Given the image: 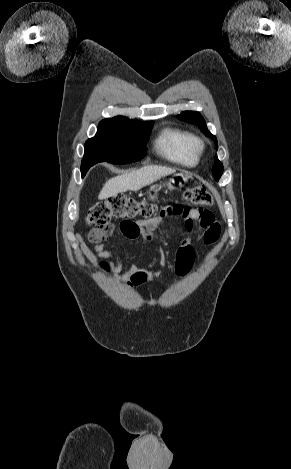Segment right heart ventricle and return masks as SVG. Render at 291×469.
Wrapping results in <instances>:
<instances>
[{"instance_id": "e07e8e85", "label": "right heart ventricle", "mask_w": 291, "mask_h": 469, "mask_svg": "<svg viewBox=\"0 0 291 469\" xmlns=\"http://www.w3.org/2000/svg\"><path fill=\"white\" fill-rule=\"evenodd\" d=\"M196 141V136L188 130L166 127L156 137L154 150L171 163L194 167L199 162V154L195 149Z\"/></svg>"}]
</instances>
